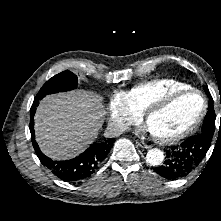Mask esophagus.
Wrapping results in <instances>:
<instances>
[{
	"label": "esophagus",
	"mask_w": 221,
	"mask_h": 221,
	"mask_svg": "<svg viewBox=\"0 0 221 221\" xmlns=\"http://www.w3.org/2000/svg\"><path fill=\"white\" fill-rule=\"evenodd\" d=\"M136 143H137V145L140 146L141 148H146V149L150 148V146L147 145V144H146L145 142H143V141L137 140Z\"/></svg>",
	"instance_id": "1"
}]
</instances>
